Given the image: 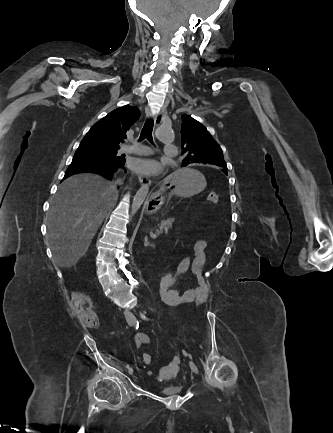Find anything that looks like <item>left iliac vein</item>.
<instances>
[{
	"mask_svg": "<svg viewBox=\"0 0 333 433\" xmlns=\"http://www.w3.org/2000/svg\"><path fill=\"white\" fill-rule=\"evenodd\" d=\"M189 366L194 373H198V368L192 361H189Z\"/></svg>",
	"mask_w": 333,
	"mask_h": 433,
	"instance_id": "4c4485c4",
	"label": "left iliac vein"
}]
</instances>
